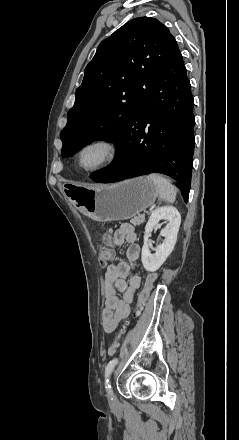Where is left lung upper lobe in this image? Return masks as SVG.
<instances>
[{"label": "left lung upper lobe", "mask_w": 239, "mask_h": 440, "mask_svg": "<svg viewBox=\"0 0 239 440\" xmlns=\"http://www.w3.org/2000/svg\"><path fill=\"white\" fill-rule=\"evenodd\" d=\"M176 45L168 28L151 17L132 19L103 40L68 112L60 135L62 156L94 140H114Z\"/></svg>", "instance_id": "5c2ea615"}]
</instances>
